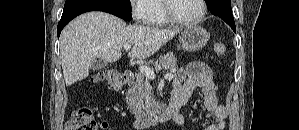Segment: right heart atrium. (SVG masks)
I'll return each instance as SVG.
<instances>
[{
  "label": "right heart atrium",
  "instance_id": "obj_1",
  "mask_svg": "<svg viewBox=\"0 0 299 130\" xmlns=\"http://www.w3.org/2000/svg\"><path fill=\"white\" fill-rule=\"evenodd\" d=\"M152 0H132L131 12L138 22H146L148 19V5Z\"/></svg>",
  "mask_w": 299,
  "mask_h": 130
}]
</instances>
